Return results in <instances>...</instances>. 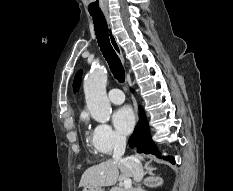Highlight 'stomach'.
<instances>
[{
  "instance_id": "1",
  "label": "stomach",
  "mask_w": 233,
  "mask_h": 191,
  "mask_svg": "<svg viewBox=\"0 0 233 191\" xmlns=\"http://www.w3.org/2000/svg\"><path fill=\"white\" fill-rule=\"evenodd\" d=\"M82 191H104L100 187H84Z\"/></svg>"
}]
</instances>
